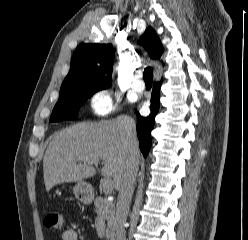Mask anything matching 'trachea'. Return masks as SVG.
Returning <instances> with one entry per match:
<instances>
[{
    "label": "trachea",
    "mask_w": 248,
    "mask_h": 240,
    "mask_svg": "<svg viewBox=\"0 0 248 240\" xmlns=\"http://www.w3.org/2000/svg\"><path fill=\"white\" fill-rule=\"evenodd\" d=\"M143 78L146 84H152L153 82V69L151 67H147L144 70Z\"/></svg>",
    "instance_id": "obj_1"
}]
</instances>
